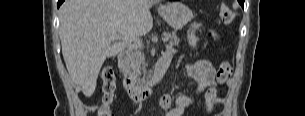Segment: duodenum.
<instances>
[{
	"mask_svg": "<svg viewBox=\"0 0 305 116\" xmlns=\"http://www.w3.org/2000/svg\"><path fill=\"white\" fill-rule=\"evenodd\" d=\"M129 61L130 56L127 53H123L118 56V66L123 74L126 73ZM170 62V57H162L157 62L150 81L142 86L134 85L130 79L124 76L123 83L125 85L127 94L129 95L133 103L138 104L145 102L153 94L156 87L163 81Z\"/></svg>",
	"mask_w": 305,
	"mask_h": 116,
	"instance_id": "duodenum-1",
	"label": "duodenum"
}]
</instances>
